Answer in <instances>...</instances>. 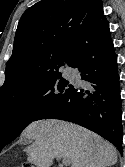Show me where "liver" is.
<instances>
[{"label": "liver", "mask_w": 125, "mask_h": 167, "mask_svg": "<svg viewBox=\"0 0 125 167\" xmlns=\"http://www.w3.org/2000/svg\"><path fill=\"white\" fill-rule=\"evenodd\" d=\"M22 135L34 142L24 149L27 161L50 167L54 158H68L72 167H107L116 164V148L99 135L61 120L32 122Z\"/></svg>", "instance_id": "1"}]
</instances>
